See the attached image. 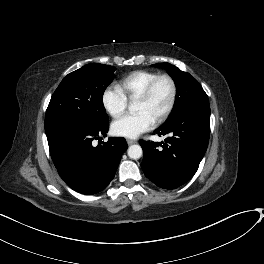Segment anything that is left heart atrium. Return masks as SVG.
I'll return each mask as SVG.
<instances>
[{"label": "left heart atrium", "instance_id": "1", "mask_svg": "<svg viewBox=\"0 0 264 264\" xmlns=\"http://www.w3.org/2000/svg\"><path fill=\"white\" fill-rule=\"evenodd\" d=\"M154 120L145 112L126 115L112 124V131L117 136L136 138L141 133L151 129Z\"/></svg>", "mask_w": 264, "mask_h": 264}]
</instances>
